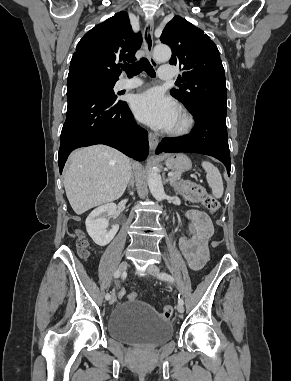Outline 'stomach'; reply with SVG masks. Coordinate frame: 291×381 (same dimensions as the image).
<instances>
[{
	"label": "stomach",
	"instance_id": "0dacf381",
	"mask_svg": "<svg viewBox=\"0 0 291 381\" xmlns=\"http://www.w3.org/2000/svg\"><path fill=\"white\" fill-rule=\"evenodd\" d=\"M166 166L175 172H185L191 169L192 162L184 154L168 155L165 159Z\"/></svg>",
	"mask_w": 291,
	"mask_h": 381
}]
</instances>
